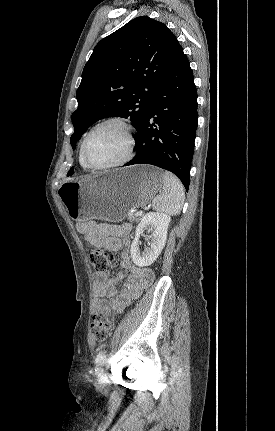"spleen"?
<instances>
[{
	"instance_id": "1",
	"label": "spleen",
	"mask_w": 275,
	"mask_h": 431,
	"mask_svg": "<svg viewBox=\"0 0 275 431\" xmlns=\"http://www.w3.org/2000/svg\"><path fill=\"white\" fill-rule=\"evenodd\" d=\"M163 190L152 201V207L158 212L166 213L171 216L180 213L185 193L182 183L172 173L165 171L163 173Z\"/></svg>"
}]
</instances>
